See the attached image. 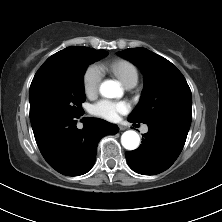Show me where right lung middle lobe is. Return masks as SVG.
I'll return each mask as SVG.
<instances>
[{"label": "right lung middle lobe", "instance_id": "right-lung-middle-lobe-1", "mask_svg": "<svg viewBox=\"0 0 222 222\" xmlns=\"http://www.w3.org/2000/svg\"><path fill=\"white\" fill-rule=\"evenodd\" d=\"M104 50L72 47L49 57L29 90L30 120L35 125L53 115L78 116L85 101L83 75L88 64L106 56Z\"/></svg>", "mask_w": 222, "mask_h": 222}]
</instances>
